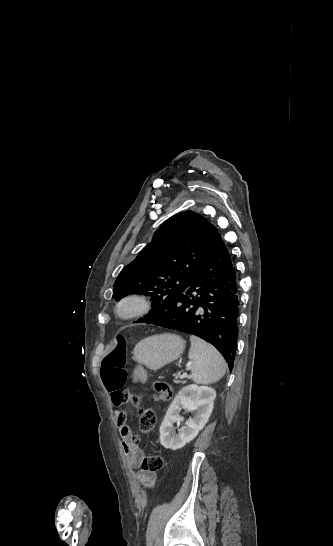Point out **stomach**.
I'll use <instances>...</instances> for the list:
<instances>
[{"instance_id": "stomach-1", "label": "stomach", "mask_w": 333, "mask_h": 546, "mask_svg": "<svg viewBox=\"0 0 333 546\" xmlns=\"http://www.w3.org/2000/svg\"><path fill=\"white\" fill-rule=\"evenodd\" d=\"M185 349V341L178 335L163 333L141 340L133 350V359L142 361L150 370L157 371L178 359Z\"/></svg>"}]
</instances>
